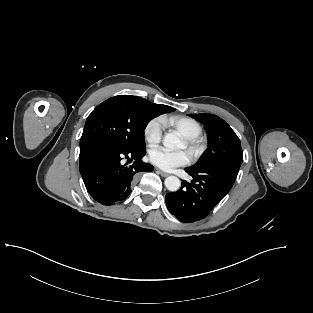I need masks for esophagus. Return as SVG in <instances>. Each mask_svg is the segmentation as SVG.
Masks as SVG:
<instances>
[{
	"instance_id": "obj_1",
	"label": "esophagus",
	"mask_w": 313,
	"mask_h": 313,
	"mask_svg": "<svg viewBox=\"0 0 313 313\" xmlns=\"http://www.w3.org/2000/svg\"><path fill=\"white\" fill-rule=\"evenodd\" d=\"M157 172H158V174H160V175H161V176H163V177H167V176H169V174H168V173L163 172V171H161V170H157Z\"/></svg>"
}]
</instances>
